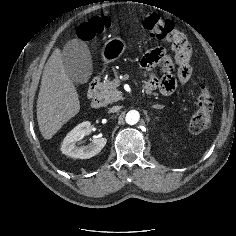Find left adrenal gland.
<instances>
[{"label":"left adrenal gland","instance_id":"a2214340","mask_svg":"<svg viewBox=\"0 0 236 236\" xmlns=\"http://www.w3.org/2000/svg\"><path fill=\"white\" fill-rule=\"evenodd\" d=\"M153 108H155V109H162L163 106H161V105H153Z\"/></svg>","mask_w":236,"mask_h":236}]
</instances>
